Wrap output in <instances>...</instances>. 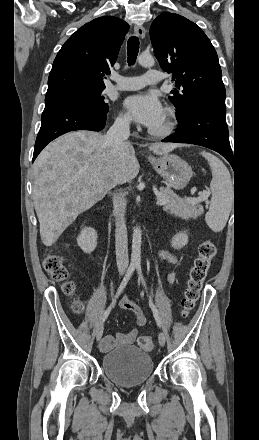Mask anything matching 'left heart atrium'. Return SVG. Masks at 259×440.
<instances>
[{"label":"left heart atrium","instance_id":"39dd6f15","mask_svg":"<svg viewBox=\"0 0 259 440\" xmlns=\"http://www.w3.org/2000/svg\"><path fill=\"white\" fill-rule=\"evenodd\" d=\"M123 104L134 121L149 128L159 124L164 117L162 104L154 95H131L125 98Z\"/></svg>","mask_w":259,"mask_h":440}]
</instances>
